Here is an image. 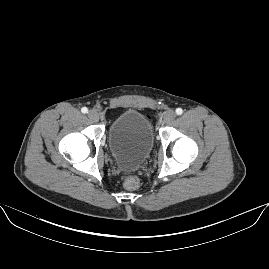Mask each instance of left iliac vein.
<instances>
[{
    "label": "left iliac vein",
    "mask_w": 269,
    "mask_h": 269,
    "mask_svg": "<svg viewBox=\"0 0 269 269\" xmlns=\"http://www.w3.org/2000/svg\"><path fill=\"white\" fill-rule=\"evenodd\" d=\"M176 116V113L173 110H168L166 111V113L164 114V122L166 124H170L174 121Z\"/></svg>",
    "instance_id": "left-iliac-vein-1"
}]
</instances>
